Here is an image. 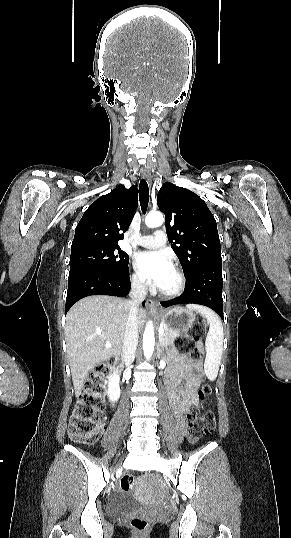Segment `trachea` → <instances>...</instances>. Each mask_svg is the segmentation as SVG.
<instances>
[{"mask_svg": "<svg viewBox=\"0 0 291 538\" xmlns=\"http://www.w3.org/2000/svg\"><path fill=\"white\" fill-rule=\"evenodd\" d=\"M139 200L141 210L143 213H145L149 202V188L145 179H141L139 184Z\"/></svg>", "mask_w": 291, "mask_h": 538, "instance_id": "1", "label": "trachea"}]
</instances>
